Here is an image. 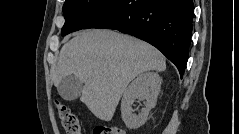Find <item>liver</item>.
<instances>
[{"label": "liver", "mask_w": 239, "mask_h": 134, "mask_svg": "<svg viewBox=\"0 0 239 134\" xmlns=\"http://www.w3.org/2000/svg\"><path fill=\"white\" fill-rule=\"evenodd\" d=\"M164 56L150 44L112 30H85L64 44L52 80L74 75L84 86L80 101L110 121L128 84L147 71H165Z\"/></svg>", "instance_id": "liver-1"}]
</instances>
